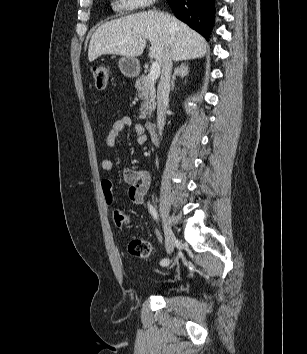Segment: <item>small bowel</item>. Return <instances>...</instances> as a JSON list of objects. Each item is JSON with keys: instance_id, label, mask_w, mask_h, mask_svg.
<instances>
[{"instance_id": "c3829d8e", "label": "small bowel", "mask_w": 307, "mask_h": 354, "mask_svg": "<svg viewBox=\"0 0 307 354\" xmlns=\"http://www.w3.org/2000/svg\"><path fill=\"white\" fill-rule=\"evenodd\" d=\"M133 127L138 143H145L147 141V133L143 125L135 123L131 117L123 116L116 120L111 129L109 130L105 143L109 148H113L121 132L128 128ZM101 167L105 171L113 168V161L110 158L102 160ZM122 177L129 185L126 194L130 201L136 205H143L145 203V195L150 188L151 177L148 171L141 169L123 168ZM101 189L104 198L108 204L113 203V185L108 179L101 182Z\"/></svg>"}]
</instances>
